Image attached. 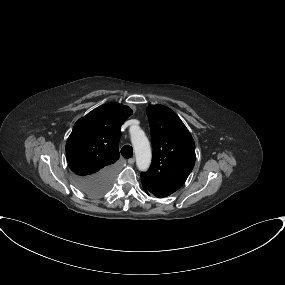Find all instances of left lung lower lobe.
<instances>
[{"mask_svg":"<svg viewBox=\"0 0 285 285\" xmlns=\"http://www.w3.org/2000/svg\"><path fill=\"white\" fill-rule=\"evenodd\" d=\"M145 190V192L147 193V194H149V192L146 190V189H144Z\"/></svg>","mask_w":285,"mask_h":285,"instance_id":"left-lung-lower-lobe-1","label":"left lung lower lobe"}]
</instances>
